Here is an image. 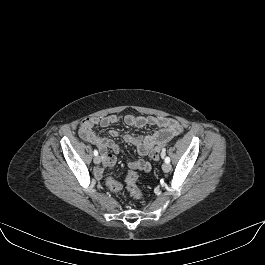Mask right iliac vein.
Instances as JSON below:
<instances>
[{"instance_id": "obj_1", "label": "right iliac vein", "mask_w": 265, "mask_h": 265, "mask_svg": "<svg viewBox=\"0 0 265 265\" xmlns=\"http://www.w3.org/2000/svg\"><path fill=\"white\" fill-rule=\"evenodd\" d=\"M100 162H101V158H100V156H98V155L95 156V157H94V163H95V164H99Z\"/></svg>"}]
</instances>
